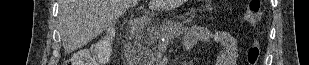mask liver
Returning a JSON list of instances; mask_svg holds the SVG:
<instances>
[{
    "label": "liver",
    "instance_id": "1",
    "mask_svg": "<svg viewBox=\"0 0 309 65\" xmlns=\"http://www.w3.org/2000/svg\"><path fill=\"white\" fill-rule=\"evenodd\" d=\"M139 0H60L59 31L66 53L76 51L116 22ZM183 0H150L154 11L172 10Z\"/></svg>",
    "mask_w": 309,
    "mask_h": 65
}]
</instances>
